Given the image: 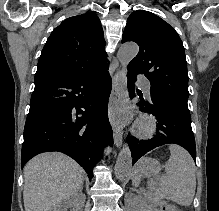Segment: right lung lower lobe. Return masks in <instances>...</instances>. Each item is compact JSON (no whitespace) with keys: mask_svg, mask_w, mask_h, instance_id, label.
<instances>
[{"mask_svg":"<svg viewBox=\"0 0 219 211\" xmlns=\"http://www.w3.org/2000/svg\"><path fill=\"white\" fill-rule=\"evenodd\" d=\"M108 64L90 72L35 76V89L24 128L21 166L33 156L59 151L87 172L112 144L107 117L112 81Z\"/></svg>","mask_w":219,"mask_h":211,"instance_id":"obj_1","label":"right lung lower lobe"}]
</instances>
